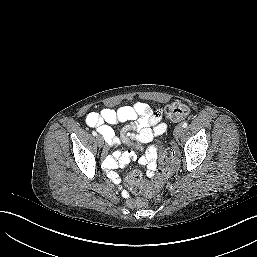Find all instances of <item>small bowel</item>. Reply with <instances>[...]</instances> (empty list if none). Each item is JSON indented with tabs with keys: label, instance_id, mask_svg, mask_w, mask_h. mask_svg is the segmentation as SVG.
Wrapping results in <instances>:
<instances>
[{
	"label": "small bowel",
	"instance_id": "small-bowel-1",
	"mask_svg": "<svg viewBox=\"0 0 257 257\" xmlns=\"http://www.w3.org/2000/svg\"><path fill=\"white\" fill-rule=\"evenodd\" d=\"M125 122L131 123L122 129L121 136L118 138L111 125ZM86 123L89 127L95 128L109 146L118 145L120 142L125 144L135 142L139 150H144L145 144L153 141L167 130L166 123L161 121V115L145 102H136L117 109L107 107L100 112H90L86 116ZM134 159H136V155L132 151L115 152L104 160L103 166L109 178L118 184L120 177L113 172V169L124 167ZM139 162L146 167L148 175H151L157 167L156 150H147ZM122 195L129 199L126 191L123 190Z\"/></svg>",
	"mask_w": 257,
	"mask_h": 257
}]
</instances>
